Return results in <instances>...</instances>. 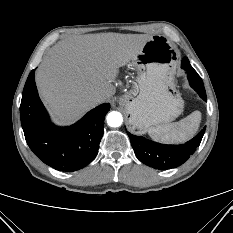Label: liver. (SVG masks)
<instances>
[{
  "instance_id": "1",
  "label": "liver",
  "mask_w": 233,
  "mask_h": 233,
  "mask_svg": "<svg viewBox=\"0 0 233 233\" xmlns=\"http://www.w3.org/2000/svg\"><path fill=\"white\" fill-rule=\"evenodd\" d=\"M152 36L147 34H87L59 41L36 70L40 96L53 119L70 124L116 92L112 82L119 68L136 58Z\"/></svg>"
}]
</instances>
